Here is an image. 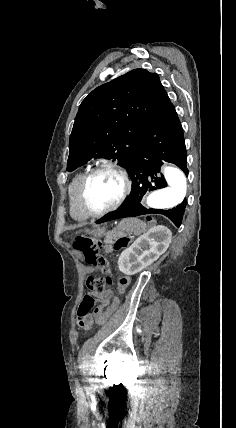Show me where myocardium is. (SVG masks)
I'll use <instances>...</instances> for the list:
<instances>
[{"label":"myocardium","instance_id":"obj_1","mask_svg":"<svg viewBox=\"0 0 236 428\" xmlns=\"http://www.w3.org/2000/svg\"><path fill=\"white\" fill-rule=\"evenodd\" d=\"M103 172H111V173L118 175L124 184V189H123V192H122L120 198L118 199V201L115 204H113V205H111L105 209H102V210H94L89 206V204L87 202L86 189H87V186H88V183L90 182V180L94 176H96L100 173H103ZM132 189H133V182H132L129 171L125 166L118 164L116 162H112V161L104 162V163L96 166L95 168L91 169L90 171H88L86 173V175L84 176V178L82 179L80 186H79V201H80L81 207L89 216H94V217L103 216L105 214H108L110 212H114L117 209H119L124 204V202L129 197V195L131 194Z\"/></svg>","mask_w":236,"mask_h":428}]
</instances>
